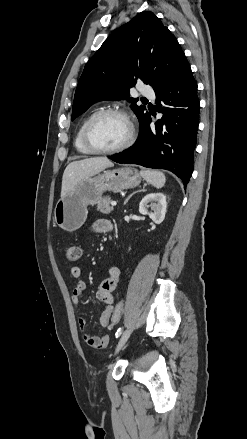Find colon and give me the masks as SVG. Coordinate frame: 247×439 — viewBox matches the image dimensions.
<instances>
[{"instance_id": "1", "label": "colon", "mask_w": 247, "mask_h": 439, "mask_svg": "<svg viewBox=\"0 0 247 439\" xmlns=\"http://www.w3.org/2000/svg\"><path fill=\"white\" fill-rule=\"evenodd\" d=\"M66 256L70 262H76L79 260V258L81 256V250L78 246H71L66 250ZM123 310H124V303L122 301L118 302L114 306V309L112 311L111 318H110V325L111 326L116 325L120 321L121 316L123 314Z\"/></svg>"}]
</instances>
